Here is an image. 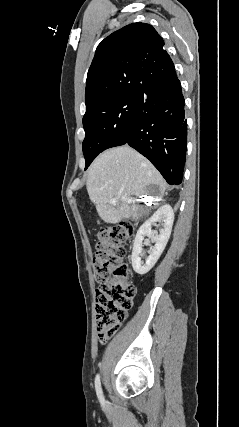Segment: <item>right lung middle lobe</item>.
Returning <instances> with one entry per match:
<instances>
[{
	"instance_id": "right-lung-middle-lobe-1",
	"label": "right lung middle lobe",
	"mask_w": 239,
	"mask_h": 427,
	"mask_svg": "<svg viewBox=\"0 0 239 427\" xmlns=\"http://www.w3.org/2000/svg\"><path fill=\"white\" fill-rule=\"evenodd\" d=\"M137 97H120L92 104L83 117L86 167L102 151L119 146L127 139Z\"/></svg>"
}]
</instances>
